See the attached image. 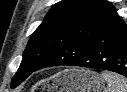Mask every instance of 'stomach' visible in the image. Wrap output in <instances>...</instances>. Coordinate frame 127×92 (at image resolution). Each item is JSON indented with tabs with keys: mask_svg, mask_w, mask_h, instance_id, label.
Masks as SVG:
<instances>
[{
	"mask_svg": "<svg viewBox=\"0 0 127 92\" xmlns=\"http://www.w3.org/2000/svg\"><path fill=\"white\" fill-rule=\"evenodd\" d=\"M50 82V92H100L104 87L98 73L83 68L64 69Z\"/></svg>",
	"mask_w": 127,
	"mask_h": 92,
	"instance_id": "obj_1",
	"label": "stomach"
}]
</instances>
